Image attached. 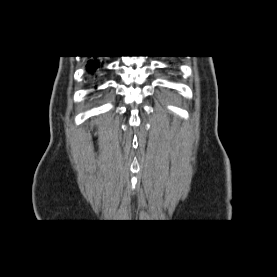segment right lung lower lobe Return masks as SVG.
<instances>
[{"instance_id": "98d812e1", "label": "right lung lower lobe", "mask_w": 277, "mask_h": 277, "mask_svg": "<svg viewBox=\"0 0 277 277\" xmlns=\"http://www.w3.org/2000/svg\"><path fill=\"white\" fill-rule=\"evenodd\" d=\"M99 65V62L98 61H89L88 64H87V70L89 72H94L95 69L98 67Z\"/></svg>"}]
</instances>
